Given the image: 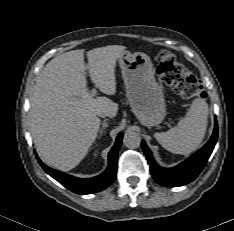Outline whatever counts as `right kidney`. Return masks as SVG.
<instances>
[{
  "mask_svg": "<svg viewBox=\"0 0 234 231\" xmlns=\"http://www.w3.org/2000/svg\"><path fill=\"white\" fill-rule=\"evenodd\" d=\"M97 154H98V151L96 150V151L94 152V157H96Z\"/></svg>",
  "mask_w": 234,
  "mask_h": 231,
  "instance_id": "right-kidney-1",
  "label": "right kidney"
}]
</instances>
